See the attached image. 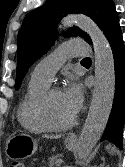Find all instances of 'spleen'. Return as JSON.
Instances as JSON below:
<instances>
[{"mask_svg": "<svg viewBox=\"0 0 125 167\" xmlns=\"http://www.w3.org/2000/svg\"><path fill=\"white\" fill-rule=\"evenodd\" d=\"M107 148L111 150V153H118V151L114 147H111L110 145L107 146Z\"/></svg>", "mask_w": 125, "mask_h": 167, "instance_id": "spleen-1", "label": "spleen"}]
</instances>
